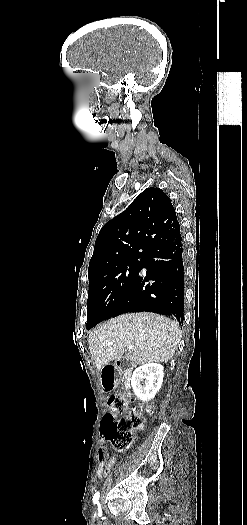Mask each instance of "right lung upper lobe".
Wrapping results in <instances>:
<instances>
[{
	"label": "right lung upper lobe",
	"instance_id": "1",
	"mask_svg": "<svg viewBox=\"0 0 247 525\" xmlns=\"http://www.w3.org/2000/svg\"><path fill=\"white\" fill-rule=\"evenodd\" d=\"M179 228L170 198L159 188L145 189L102 227L88 274L129 265Z\"/></svg>",
	"mask_w": 247,
	"mask_h": 525
}]
</instances>
